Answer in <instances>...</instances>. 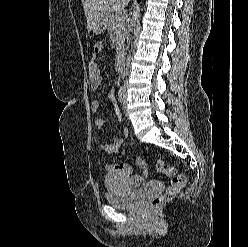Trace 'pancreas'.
<instances>
[{
    "instance_id": "1",
    "label": "pancreas",
    "mask_w": 248,
    "mask_h": 247,
    "mask_svg": "<svg viewBox=\"0 0 248 247\" xmlns=\"http://www.w3.org/2000/svg\"><path fill=\"white\" fill-rule=\"evenodd\" d=\"M108 32L114 42L117 54L124 50V41L127 34V23L124 16L118 14L108 13Z\"/></svg>"
}]
</instances>
